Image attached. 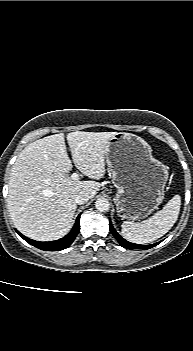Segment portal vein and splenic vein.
<instances>
[{
	"label": "portal vein and splenic vein",
	"mask_w": 193,
	"mask_h": 351,
	"mask_svg": "<svg viewBox=\"0 0 193 351\" xmlns=\"http://www.w3.org/2000/svg\"><path fill=\"white\" fill-rule=\"evenodd\" d=\"M78 178H79V174L78 173H73L71 175V179H73V180H77Z\"/></svg>",
	"instance_id": "obj_1"
}]
</instances>
